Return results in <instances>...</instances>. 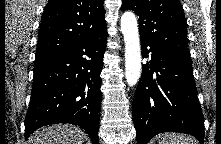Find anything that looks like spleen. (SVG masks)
I'll return each mask as SVG.
<instances>
[{"label":"spleen","instance_id":"1","mask_svg":"<svg viewBox=\"0 0 221 144\" xmlns=\"http://www.w3.org/2000/svg\"><path fill=\"white\" fill-rule=\"evenodd\" d=\"M159 144H196V142L193 138L183 134L165 133L161 136Z\"/></svg>","mask_w":221,"mask_h":144}]
</instances>
